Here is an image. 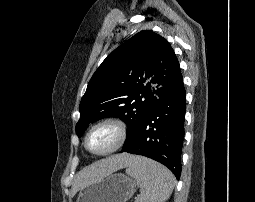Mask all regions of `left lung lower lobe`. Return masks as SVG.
<instances>
[{
  "instance_id": "obj_1",
  "label": "left lung lower lobe",
  "mask_w": 255,
  "mask_h": 202,
  "mask_svg": "<svg viewBox=\"0 0 255 202\" xmlns=\"http://www.w3.org/2000/svg\"><path fill=\"white\" fill-rule=\"evenodd\" d=\"M186 92L184 84L164 95L150 110L136 135L121 152L143 155L181 175Z\"/></svg>"
}]
</instances>
